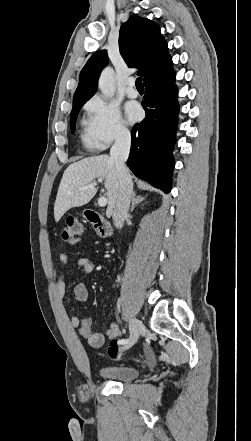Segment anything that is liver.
<instances>
[{
  "mask_svg": "<svg viewBox=\"0 0 251 441\" xmlns=\"http://www.w3.org/2000/svg\"><path fill=\"white\" fill-rule=\"evenodd\" d=\"M96 178L105 179L108 203L106 215L111 216L119 191L118 173L114 161L108 155L102 154L74 162L64 171L54 204L56 222L69 209L90 202L97 188L92 187L87 190L80 188L91 184Z\"/></svg>",
  "mask_w": 251,
  "mask_h": 441,
  "instance_id": "1",
  "label": "liver"
}]
</instances>
